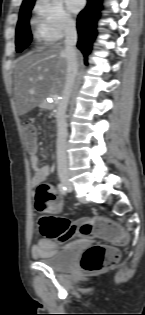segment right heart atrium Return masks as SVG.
<instances>
[{
  "mask_svg": "<svg viewBox=\"0 0 145 315\" xmlns=\"http://www.w3.org/2000/svg\"><path fill=\"white\" fill-rule=\"evenodd\" d=\"M34 13L37 27L48 40H61L75 30V22L60 0H37Z\"/></svg>",
  "mask_w": 145,
  "mask_h": 315,
  "instance_id": "1",
  "label": "right heart atrium"
}]
</instances>
